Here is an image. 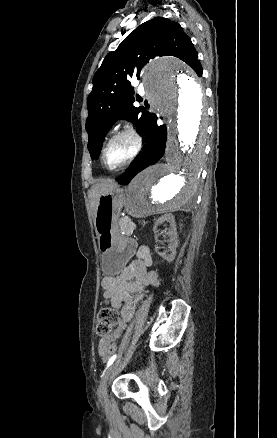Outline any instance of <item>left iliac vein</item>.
<instances>
[{
    "label": "left iliac vein",
    "mask_w": 277,
    "mask_h": 438,
    "mask_svg": "<svg viewBox=\"0 0 277 438\" xmlns=\"http://www.w3.org/2000/svg\"><path fill=\"white\" fill-rule=\"evenodd\" d=\"M119 364V360L115 361L114 363L111 364L110 367H108L100 380V390H99V397L102 403L106 404L108 401V396H107V383L108 380L110 378V375L112 374V372L116 369V367Z\"/></svg>",
    "instance_id": "obj_1"
}]
</instances>
